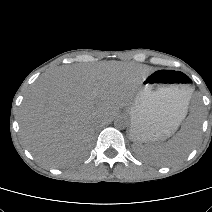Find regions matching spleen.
<instances>
[{
    "instance_id": "obj_1",
    "label": "spleen",
    "mask_w": 212,
    "mask_h": 212,
    "mask_svg": "<svg viewBox=\"0 0 212 212\" xmlns=\"http://www.w3.org/2000/svg\"><path fill=\"white\" fill-rule=\"evenodd\" d=\"M198 134L199 124L192 125L191 122L188 121L182 129L166 143L135 144L134 151L142 159L154 165L168 166L176 164L184 160L187 154L193 149Z\"/></svg>"
}]
</instances>
